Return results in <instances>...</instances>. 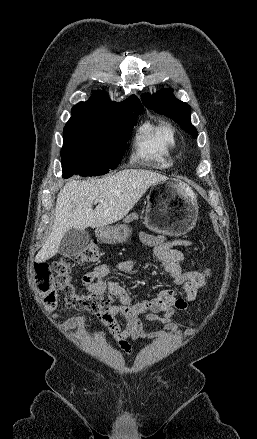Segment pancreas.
<instances>
[{
    "label": "pancreas",
    "instance_id": "pancreas-1",
    "mask_svg": "<svg viewBox=\"0 0 257 439\" xmlns=\"http://www.w3.org/2000/svg\"><path fill=\"white\" fill-rule=\"evenodd\" d=\"M137 219H138V215L136 213H132V214H129L128 216H126V218L123 221L125 223H130V222L137 220Z\"/></svg>",
    "mask_w": 257,
    "mask_h": 439
}]
</instances>
